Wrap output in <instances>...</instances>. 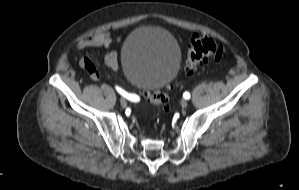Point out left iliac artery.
<instances>
[{
    "instance_id": "44dca946",
    "label": "left iliac artery",
    "mask_w": 299,
    "mask_h": 190,
    "mask_svg": "<svg viewBox=\"0 0 299 190\" xmlns=\"http://www.w3.org/2000/svg\"><path fill=\"white\" fill-rule=\"evenodd\" d=\"M183 97L185 99H189L190 98V93L189 92H184Z\"/></svg>"
}]
</instances>
